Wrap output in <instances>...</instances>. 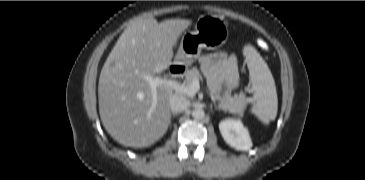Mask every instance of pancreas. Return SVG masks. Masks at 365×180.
<instances>
[{"label": "pancreas", "instance_id": "pancreas-1", "mask_svg": "<svg viewBox=\"0 0 365 180\" xmlns=\"http://www.w3.org/2000/svg\"><path fill=\"white\" fill-rule=\"evenodd\" d=\"M195 79L202 80V75L197 67H193L187 71L184 83L186 86H189ZM220 101V108L233 113H240L246 107L248 99H246L244 95H239L234 97L220 98Z\"/></svg>", "mask_w": 365, "mask_h": 180}]
</instances>
